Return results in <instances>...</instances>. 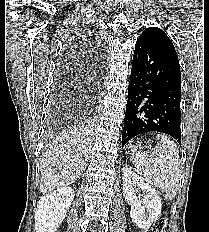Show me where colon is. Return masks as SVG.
I'll use <instances>...</instances> for the list:
<instances>
[{"label": "colon", "mask_w": 209, "mask_h": 232, "mask_svg": "<svg viewBox=\"0 0 209 232\" xmlns=\"http://www.w3.org/2000/svg\"><path fill=\"white\" fill-rule=\"evenodd\" d=\"M166 226V219L162 218L158 221L157 225H156V229L154 232H164L162 231V229Z\"/></svg>", "instance_id": "colon-1"}]
</instances>
